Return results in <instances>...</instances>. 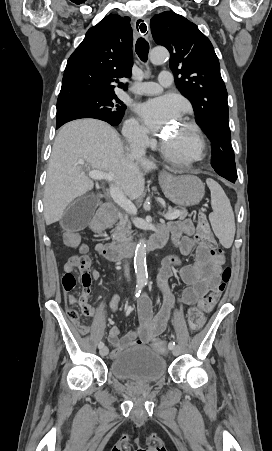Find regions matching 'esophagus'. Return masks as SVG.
I'll return each instance as SVG.
<instances>
[{
  "label": "esophagus",
  "instance_id": "obj_1",
  "mask_svg": "<svg viewBox=\"0 0 272 451\" xmlns=\"http://www.w3.org/2000/svg\"><path fill=\"white\" fill-rule=\"evenodd\" d=\"M139 20H140V19H138L135 23L137 24V23L139 22ZM137 26H138V25H137ZM138 32H139L141 35L147 34V30H146L145 28L140 27V23H139V27H138Z\"/></svg>",
  "mask_w": 272,
  "mask_h": 451
}]
</instances>
